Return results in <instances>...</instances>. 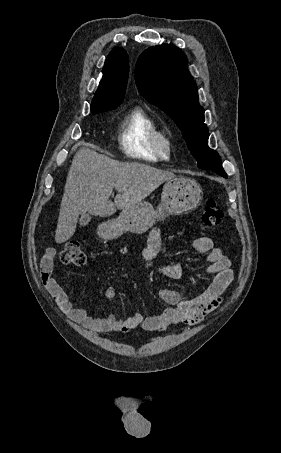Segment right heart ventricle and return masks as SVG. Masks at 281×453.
Returning <instances> with one entry per match:
<instances>
[{
	"instance_id": "obj_1",
	"label": "right heart ventricle",
	"mask_w": 281,
	"mask_h": 453,
	"mask_svg": "<svg viewBox=\"0 0 281 453\" xmlns=\"http://www.w3.org/2000/svg\"><path fill=\"white\" fill-rule=\"evenodd\" d=\"M163 132L155 120L141 108L129 110L120 126L119 144L130 157L156 162L161 158L155 146V137Z\"/></svg>"
}]
</instances>
